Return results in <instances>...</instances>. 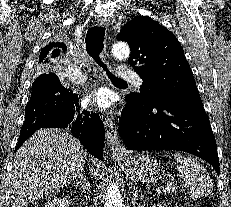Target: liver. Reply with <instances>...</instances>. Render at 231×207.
<instances>
[{
  "instance_id": "liver-1",
  "label": "liver",
  "mask_w": 231,
  "mask_h": 207,
  "mask_svg": "<svg viewBox=\"0 0 231 207\" xmlns=\"http://www.w3.org/2000/svg\"><path fill=\"white\" fill-rule=\"evenodd\" d=\"M86 160V150L68 131H36L14 156L8 179L12 207L28 206L62 188L83 170Z\"/></svg>"
}]
</instances>
